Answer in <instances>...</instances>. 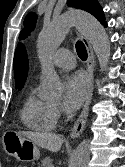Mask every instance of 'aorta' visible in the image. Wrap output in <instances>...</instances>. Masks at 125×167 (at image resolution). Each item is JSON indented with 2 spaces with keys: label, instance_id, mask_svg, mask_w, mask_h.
Listing matches in <instances>:
<instances>
[{
  "label": "aorta",
  "instance_id": "aorta-1",
  "mask_svg": "<svg viewBox=\"0 0 125 167\" xmlns=\"http://www.w3.org/2000/svg\"><path fill=\"white\" fill-rule=\"evenodd\" d=\"M77 29L91 43L101 68H106L110 58V41L104 27L92 15L83 11L65 13L45 27L38 37V50L46 62L42 98L58 100L62 95V84L55 70L47 64L49 56L60 46L69 29ZM90 159V147L83 141L75 150L69 167H87Z\"/></svg>",
  "mask_w": 125,
  "mask_h": 167
}]
</instances>
